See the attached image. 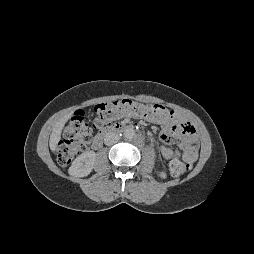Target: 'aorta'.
<instances>
[{"instance_id":"762f6f07","label":"aorta","mask_w":254,"mask_h":254,"mask_svg":"<svg viewBox=\"0 0 254 254\" xmlns=\"http://www.w3.org/2000/svg\"><path fill=\"white\" fill-rule=\"evenodd\" d=\"M124 137L127 139H132L135 137V131L132 128H128L124 130Z\"/></svg>"}]
</instances>
